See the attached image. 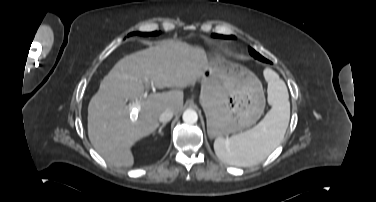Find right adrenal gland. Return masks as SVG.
I'll return each mask as SVG.
<instances>
[{
	"label": "right adrenal gland",
	"instance_id": "2a0ac1e0",
	"mask_svg": "<svg viewBox=\"0 0 376 202\" xmlns=\"http://www.w3.org/2000/svg\"><path fill=\"white\" fill-rule=\"evenodd\" d=\"M165 125H166V123H163V124L160 126L159 130H158V134L161 135V136H163L162 129L165 127ZM154 134H155V132H153V135H154Z\"/></svg>",
	"mask_w": 376,
	"mask_h": 202
}]
</instances>
